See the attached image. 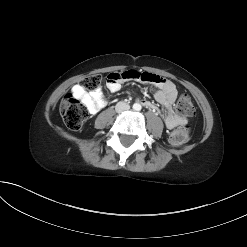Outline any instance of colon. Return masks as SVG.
I'll list each match as a JSON object with an SVG mask.
<instances>
[{
    "label": "colon",
    "mask_w": 247,
    "mask_h": 247,
    "mask_svg": "<svg viewBox=\"0 0 247 247\" xmlns=\"http://www.w3.org/2000/svg\"><path fill=\"white\" fill-rule=\"evenodd\" d=\"M102 79L103 77L100 74L90 75L82 80L81 87L85 90H94L99 87ZM59 110L65 125L70 130H79L88 118V111L83 107L80 101L72 95H66L61 100ZM176 112L182 118L194 115L195 108L188 95L183 94L179 97L176 103ZM188 138L189 128L184 124H180L170 133L169 143L174 146L182 145Z\"/></svg>",
    "instance_id": "5ec220e1"
}]
</instances>
